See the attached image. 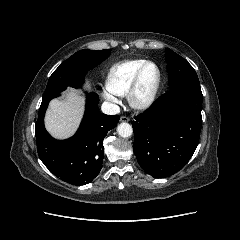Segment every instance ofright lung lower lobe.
I'll use <instances>...</instances> for the list:
<instances>
[{
    "mask_svg": "<svg viewBox=\"0 0 240 240\" xmlns=\"http://www.w3.org/2000/svg\"><path fill=\"white\" fill-rule=\"evenodd\" d=\"M52 97L42 99L35 125L37 151L41 161L60 179L73 184L90 183L101 171L103 139L118 121V115H105L98 110V95H87L86 112L78 132L70 139L52 138L44 127V115Z\"/></svg>",
    "mask_w": 240,
    "mask_h": 240,
    "instance_id": "1",
    "label": "right lung lower lobe"
}]
</instances>
